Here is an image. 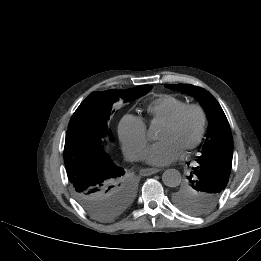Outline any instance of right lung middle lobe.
<instances>
[{"label":"right lung middle lobe","instance_id":"1","mask_svg":"<svg viewBox=\"0 0 261 261\" xmlns=\"http://www.w3.org/2000/svg\"><path fill=\"white\" fill-rule=\"evenodd\" d=\"M151 88L150 85H142L126 90L92 92L73 114L68 129L86 127L104 136L107 133V121L114 113L115 104L121 100L133 101ZM110 139L112 140L111 134ZM124 174L121 172L102 183L84 186L81 189L72 185V193L92 217L101 221L113 220L129 207L134 198L133 182Z\"/></svg>","mask_w":261,"mask_h":261}]
</instances>
